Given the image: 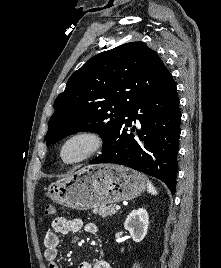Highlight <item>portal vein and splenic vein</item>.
<instances>
[{
    "label": "portal vein and splenic vein",
    "mask_w": 221,
    "mask_h": 268,
    "mask_svg": "<svg viewBox=\"0 0 221 268\" xmlns=\"http://www.w3.org/2000/svg\"><path fill=\"white\" fill-rule=\"evenodd\" d=\"M120 208H121V207H120L119 205H117V206L115 207L116 210H120Z\"/></svg>",
    "instance_id": "portal-vein-and-splenic-vein-1"
}]
</instances>
